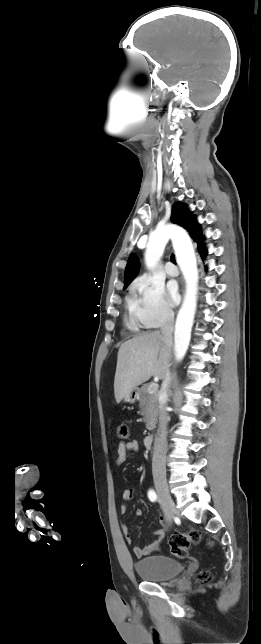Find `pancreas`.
<instances>
[{
    "mask_svg": "<svg viewBox=\"0 0 261 644\" xmlns=\"http://www.w3.org/2000/svg\"><path fill=\"white\" fill-rule=\"evenodd\" d=\"M148 385H144L140 389L139 407L141 414L144 416L146 428L151 430L155 427L158 414V393L153 394L148 392Z\"/></svg>",
    "mask_w": 261,
    "mask_h": 644,
    "instance_id": "obj_1",
    "label": "pancreas"
}]
</instances>
